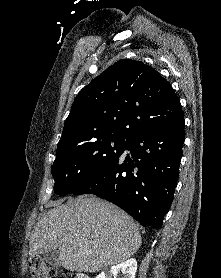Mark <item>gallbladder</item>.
<instances>
[{
	"instance_id": "obj_1",
	"label": "gallbladder",
	"mask_w": 221,
	"mask_h": 278,
	"mask_svg": "<svg viewBox=\"0 0 221 278\" xmlns=\"http://www.w3.org/2000/svg\"><path fill=\"white\" fill-rule=\"evenodd\" d=\"M44 260L46 261L47 264H49L54 268H58L62 265V261L60 259L57 249L45 253Z\"/></svg>"
}]
</instances>
